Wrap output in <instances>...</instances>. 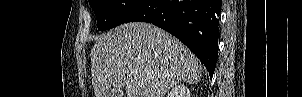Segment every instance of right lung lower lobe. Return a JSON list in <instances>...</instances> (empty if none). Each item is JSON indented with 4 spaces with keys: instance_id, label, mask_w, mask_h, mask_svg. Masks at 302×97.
I'll list each match as a JSON object with an SVG mask.
<instances>
[{
    "instance_id": "obj_1",
    "label": "right lung lower lobe",
    "mask_w": 302,
    "mask_h": 97,
    "mask_svg": "<svg viewBox=\"0 0 302 97\" xmlns=\"http://www.w3.org/2000/svg\"><path fill=\"white\" fill-rule=\"evenodd\" d=\"M221 0H142L122 23L149 22L184 43L205 65L212 78L218 56Z\"/></svg>"
}]
</instances>
